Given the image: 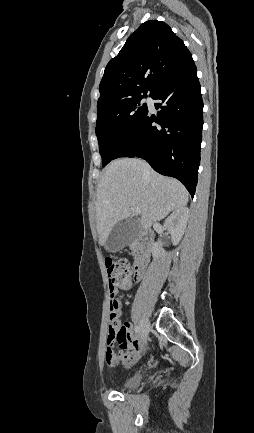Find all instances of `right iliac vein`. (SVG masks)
Wrapping results in <instances>:
<instances>
[{
	"instance_id": "right-iliac-vein-1",
	"label": "right iliac vein",
	"mask_w": 254,
	"mask_h": 433,
	"mask_svg": "<svg viewBox=\"0 0 254 433\" xmlns=\"http://www.w3.org/2000/svg\"><path fill=\"white\" fill-rule=\"evenodd\" d=\"M148 332H149V321L144 320L140 327V336L142 340H145L147 338Z\"/></svg>"
}]
</instances>
